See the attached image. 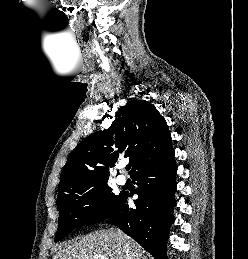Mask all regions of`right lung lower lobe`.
<instances>
[{
	"mask_svg": "<svg viewBox=\"0 0 248 259\" xmlns=\"http://www.w3.org/2000/svg\"><path fill=\"white\" fill-rule=\"evenodd\" d=\"M176 171L174 151L138 169L131 176L138 186L135 207L126 204L131 195L124 193L116 213L107 221L135 239L155 259H167L166 241L176 205Z\"/></svg>",
	"mask_w": 248,
	"mask_h": 259,
	"instance_id": "right-lung-lower-lobe-1",
	"label": "right lung lower lobe"
}]
</instances>
